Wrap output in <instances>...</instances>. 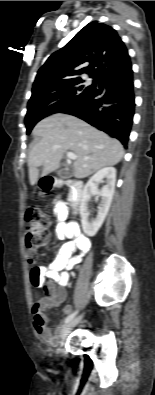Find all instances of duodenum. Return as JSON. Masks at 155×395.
<instances>
[{
	"label": "duodenum",
	"instance_id": "obj_1",
	"mask_svg": "<svg viewBox=\"0 0 155 395\" xmlns=\"http://www.w3.org/2000/svg\"><path fill=\"white\" fill-rule=\"evenodd\" d=\"M56 183V181L52 177H47L46 185L50 188ZM60 183V182H58ZM83 197V189L82 183L80 181H75L71 185L70 193H69V203L74 208L77 209L82 201Z\"/></svg>",
	"mask_w": 155,
	"mask_h": 395
}]
</instances>
